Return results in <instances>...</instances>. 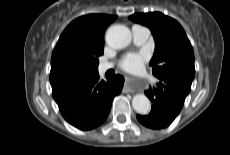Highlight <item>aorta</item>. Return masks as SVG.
<instances>
[{"instance_id": "obj_1", "label": "aorta", "mask_w": 230, "mask_h": 155, "mask_svg": "<svg viewBox=\"0 0 230 155\" xmlns=\"http://www.w3.org/2000/svg\"><path fill=\"white\" fill-rule=\"evenodd\" d=\"M107 44L115 49L127 47L132 39L131 31L123 25L111 26L105 35ZM133 109L139 114H148L151 110L150 100L144 94H136L132 99Z\"/></svg>"}]
</instances>
